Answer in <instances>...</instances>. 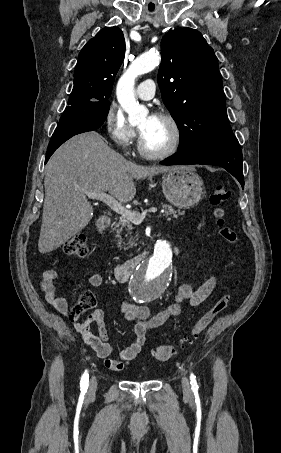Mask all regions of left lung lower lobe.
I'll use <instances>...</instances> for the list:
<instances>
[{
	"label": "left lung lower lobe",
	"mask_w": 281,
	"mask_h": 453,
	"mask_svg": "<svg viewBox=\"0 0 281 453\" xmlns=\"http://www.w3.org/2000/svg\"><path fill=\"white\" fill-rule=\"evenodd\" d=\"M162 165L202 164L226 169L244 188L242 151L235 136L178 151L160 162Z\"/></svg>",
	"instance_id": "1"
}]
</instances>
